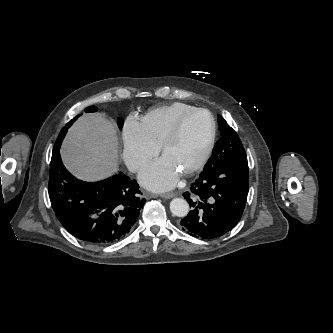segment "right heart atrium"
<instances>
[{"label": "right heart atrium", "instance_id": "right-heart-atrium-1", "mask_svg": "<svg viewBox=\"0 0 333 333\" xmlns=\"http://www.w3.org/2000/svg\"><path fill=\"white\" fill-rule=\"evenodd\" d=\"M122 157L132 172L140 171L158 153L159 147L147 135L142 123L129 116L122 127Z\"/></svg>", "mask_w": 333, "mask_h": 333}]
</instances>
